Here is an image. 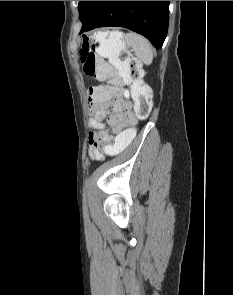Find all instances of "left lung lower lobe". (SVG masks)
Returning <instances> with one entry per match:
<instances>
[{
	"mask_svg": "<svg viewBox=\"0 0 233 295\" xmlns=\"http://www.w3.org/2000/svg\"><path fill=\"white\" fill-rule=\"evenodd\" d=\"M169 1H97L81 32L97 27H125L162 46L168 29Z\"/></svg>",
	"mask_w": 233,
	"mask_h": 295,
	"instance_id": "1",
	"label": "left lung lower lobe"
}]
</instances>
